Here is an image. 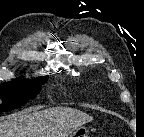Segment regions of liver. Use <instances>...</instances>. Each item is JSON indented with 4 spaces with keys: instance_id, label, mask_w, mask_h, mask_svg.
Returning <instances> with one entry per match:
<instances>
[{
    "instance_id": "6515ba94",
    "label": "liver",
    "mask_w": 144,
    "mask_h": 137,
    "mask_svg": "<svg viewBox=\"0 0 144 137\" xmlns=\"http://www.w3.org/2000/svg\"><path fill=\"white\" fill-rule=\"evenodd\" d=\"M92 120L90 115L69 107L26 110L0 123V137H68Z\"/></svg>"
}]
</instances>
